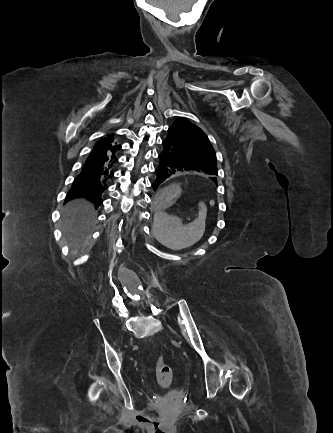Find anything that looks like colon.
Instances as JSON below:
<instances>
[{
  "label": "colon",
  "mask_w": 333,
  "mask_h": 433,
  "mask_svg": "<svg viewBox=\"0 0 333 433\" xmlns=\"http://www.w3.org/2000/svg\"><path fill=\"white\" fill-rule=\"evenodd\" d=\"M155 372L159 386L163 389H167L172 382L173 374L164 355L159 356L157 359Z\"/></svg>",
  "instance_id": "5ec220e1"
}]
</instances>
